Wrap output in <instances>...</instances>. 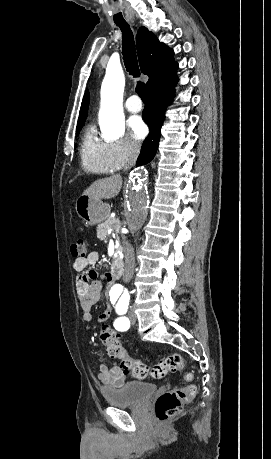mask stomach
<instances>
[{
    "label": "stomach",
    "mask_w": 271,
    "mask_h": 459,
    "mask_svg": "<svg viewBox=\"0 0 271 459\" xmlns=\"http://www.w3.org/2000/svg\"><path fill=\"white\" fill-rule=\"evenodd\" d=\"M76 212L79 218L84 220L88 226L101 224L109 218L110 208L108 204H103L101 200H94L89 196H81L76 202Z\"/></svg>",
    "instance_id": "1"
}]
</instances>
